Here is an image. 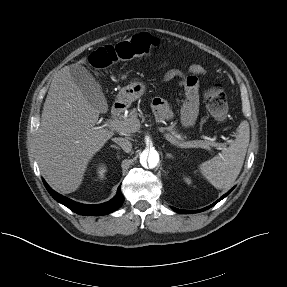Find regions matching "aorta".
<instances>
[{
  "mask_svg": "<svg viewBox=\"0 0 287 287\" xmlns=\"http://www.w3.org/2000/svg\"><path fill=\"white\" fill-rule=\"evenodd\" d=\"M140 163L144 167L155 168L159 163V154L156 150H144L140 155Z\"/></svg>",
  "mask_w": 287,
  "mask_h": 287,
  "instance_id": "1",
  "label": "aorta"
}]
</instances>
